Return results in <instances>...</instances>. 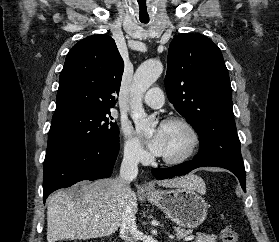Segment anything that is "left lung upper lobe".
<instances>
[{"mask_svg": "<svg viewBox=\"0 0 279 242\" xmlns=\"http://www.w3.org/2000/svg\"><path fill=\"white\" fill-rule=\"evenodd\" d=\"M165 87L169 101L200 137L195 159L244 168L232 88L218 46L199 34L176 36L169 47Z\"/></svg>", "mask_w": 279, "mask_h": 242, "instance_id": "obj_1", "label": "left lung upper lobe"}]
</instances>
